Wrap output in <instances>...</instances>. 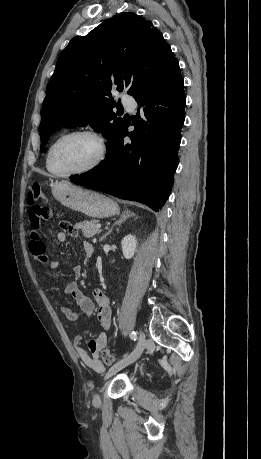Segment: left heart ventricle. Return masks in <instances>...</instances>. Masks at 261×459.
<instances>
[{"mask_svg":"<svg viewBox=\"0 0 261 459\" xmlns=\"http://www.w3.org/2000/svg\"><path fill=\"white\" fill-rule=\"evenodd\" d=\"M97 153L95 142L87 136H70L53 150L50 166L56 173H68L89 164Z\"/></svg>","mask_w":261,"mask_h":459,"instance_id":"obj_1","label":"left heart ventricle"}]
</instances>
